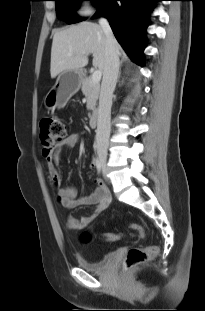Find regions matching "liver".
<instances>
[{
  "label": "liver",
  "mask_w": 205,
  "mask_h": 311,
  "mask_svg": "<svg viewBox=\"0 0 205 311\" xmlns=\"http://www.w3.org/2000/svg\"><path fill=\"white\" fill-rule=\"evenodd\" d=\"M117 49L120 52L118 43ZM70 53L72 55L68 56ZM90 53L93 54V66L104 72L106 37L100 25L85 21L56 31L51 48V78L66 70H81L88 64Z\"/></svg>",
  "instance_id": "liver-1"
}]
</instances>
